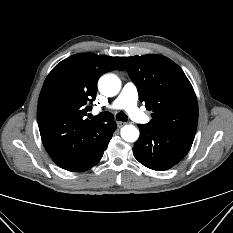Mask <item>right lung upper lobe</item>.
Segmentation results:
<instances>
[{
  "label": "right lung upper lobe",
  "instance_id": "right-lung-upper-lobe-1",
  "mask_svg": "<svg viewBox=\"0 0 233 233\" xmlns=\"http://www.w3.org/2000/svg\"><path fill=\"white\" fill-rule=\"evenodd\" d=\"M124 70L119 57L79 53L61 61L47 76L38 100L37 121L43 145L61 168H82L93 159L105 124L85 119L95 100L97 81Z\"/></svg>",
  "mask_w": 233,
  "mask_h": 233
}]
</instances>
